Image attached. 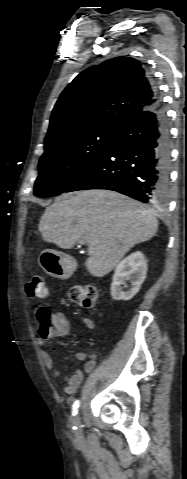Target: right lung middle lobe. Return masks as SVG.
Here are the masks:
<instances>
[{
    "instance_id": "1",
    "label": "right lung middle lobe",
    "mask_w": 187,
    "mask_h": 479,
    "mask_svg": "<svg viewBox=\"0 0 187 479\" xmlns=\"http://www.w3.org/2000/svg\"><path fill=\"white\" fill-rule=\"evenodd\" d=\"M121 129L95 126L62 135L45 144L34 194L59 195L109 147Z\"/></svg>"
}]
</instances>
